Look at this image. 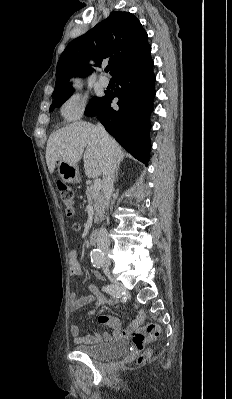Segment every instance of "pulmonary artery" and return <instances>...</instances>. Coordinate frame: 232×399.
<instances>
[{
	"label": "pulmonary artery",
	"instance_id": "1",
	"mask_svg": "<svg viewBox=\"0 0 232 399\" xmlns=\"http://www.w3.org/2000/svg\"><path fill=\"white\" fill-rule=\"evenodd\" d=\"M109 84V79L106 77V74L102 71V75L99 78V85L102 87H106Z\"/></svg>",
	"mask_w": 232,
	"mask_h": 399
}]
</instances>
